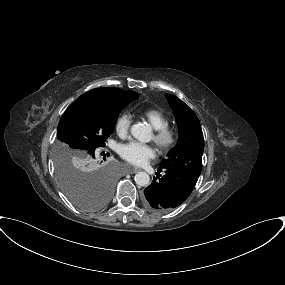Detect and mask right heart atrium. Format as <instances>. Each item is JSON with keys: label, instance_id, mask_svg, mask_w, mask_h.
<instances>
[{"label": "right heart atrium", "instance_id": "1", "mask_svg": "<svg viewBox=\"0 0 285 285\" xmlns=\"http://www.w3.org/2000/svg\"><path fill=\"white\" fill-rule=\"evenodd\" d=\"M132 119L129 114H121L115 121V131L121 137L125 138L129 134Z\"/></svg>", "mask_w": 285, "mask_h": 285}]
</instances>
